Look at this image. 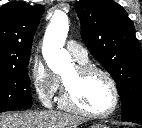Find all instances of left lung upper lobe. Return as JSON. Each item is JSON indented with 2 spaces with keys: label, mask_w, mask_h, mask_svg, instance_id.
Wrapping results in <instances>:
<instances>
[{
  "label": "left lung upper lobe",
  "mask_w": 142,
  "mask_h": 128,
  "mask_svg": "<svg viewBox=\"0 0 142 128\" xmlns=\"http://www.w3.org/2000/svg\"><path fill=\"white\" fill-rule=\"evenodd\" d=\"M75 10L84 43L117 84L122 121L142 122V55L132 21L113 0H79Z\"/></svg>",
  "instance_id": "obj_1"
}]
</instances>
